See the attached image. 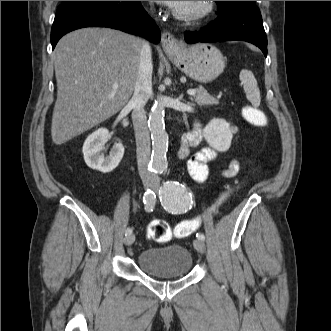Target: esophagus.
Masks as SVG:
<instances>
[{
	"mask_svg": "<svg viewBox=\"0 0 331 331\" xmlns=\"http://www.w3.org/2000/svg\"><path fill=\"white\" fill-rule=\"evenodd\" d=\"M161 43L167 54H173L180 48L178 40L168 31L162 33Z\"/></svg>",
	"mask_w": 331,
	"mask_h": 331,
	"instance_id": "34e87169",
	"label": "esophagus"
}]
</instances>
